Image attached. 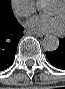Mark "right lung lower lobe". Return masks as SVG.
Wrapping results in <instances>:
<instances>
[{
  "label": "right lung lower lobe",
  "mask_w": 65,
  "mask_h": 89,
  "mask_svg": "<svg viewBox=\"0 0 65 89\" xmlns=\"http://www.w3.org/2000/svg\"><path fill=\"white\" fill-rule=\"evenodd\" d=\"M23 30L14 15L0 13V71L13 63Z\"/></svg>",
  "instance_id": "1"
}]
</instances>
